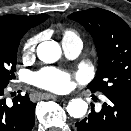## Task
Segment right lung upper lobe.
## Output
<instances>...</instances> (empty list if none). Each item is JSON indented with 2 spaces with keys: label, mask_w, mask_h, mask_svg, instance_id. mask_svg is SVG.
I'll return each instance as SVG.
<instances>
[{
  "label": "right lung upper lobe",
  "mask_w": 131,
  "mask_h": 131,
  "mask_svg": "<svg viewBox=\"0 0 131 131\" xmlns=\"http://www.w3.org/2000/svg\"><path fill=\"white\" fill-rule=\"evenodd\" d=\"M48 17V15H5L0 17V34L16 36L26 33L30 28L44 22Z\"/></svg>",
  "instance_id": "obj_1"
}]
</instances>
